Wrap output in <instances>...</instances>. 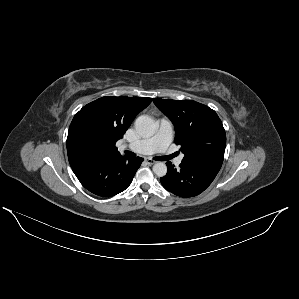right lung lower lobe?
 Returning a JSON list of instances; mask_svg holds the SVG:
<instances>
[{"mask_svg": "<svg viewBox=\"0 0 299 299\" xmlns=\"http://www.w3.org/2000/svg\"><path fill=\"white\" fill-rule=\"evenodd\" d=\"M143 158L123 156L95 158L72 167L80 183L90 192L102 197L124 191L133 180Z\"/></svg>", "mask_w": 299, "mask_h": 299, "instance_id": "obj_1", "label": "right lung lower lobe"}]
</instances>
